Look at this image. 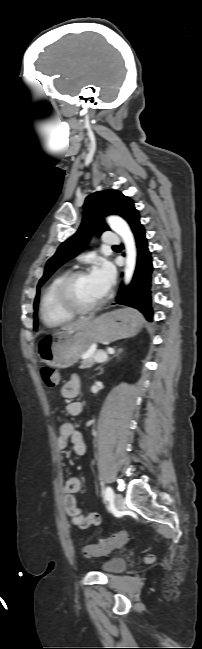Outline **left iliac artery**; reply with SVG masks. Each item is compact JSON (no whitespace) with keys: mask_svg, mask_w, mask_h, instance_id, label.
<instances>
[{"mask_svg":"<svg viewBox=\"0 0 202 649\" xmlns=\"http://www.w3.org/2000/svg\"><path fill=\"white\" fill-rule=\"evenodd\" d=\"M113 496H114L113 490L111 489V487H107L105 489V496H104L105 500H107V501L111 500L113 498Z\"/></svg>","mask_w":202,"mask_h":649,"instance_id":"obj_1","label":"left iliac artery"}]
</instances>
